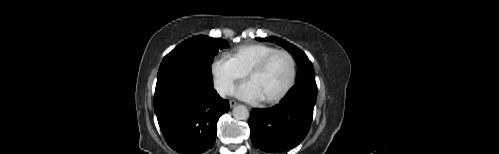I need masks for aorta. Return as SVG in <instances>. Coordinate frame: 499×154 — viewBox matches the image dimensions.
I'll return each instance as SVG.
<instances>
[{"mask_svg": "<svg viewBox=\"0 0 499 154\" xmlns=\"http://www.w3.org/2000/svg\"><path fill=\"white\" fill-rule=\"evenodd\" d=\"M233 117L237 120H247L249 118V111L244 105H237L232 111Z\"/></svg>", "mask_w": 499, "mask_h": 154, "instance_id": "1", "label": "aorta"}]
</instances>
